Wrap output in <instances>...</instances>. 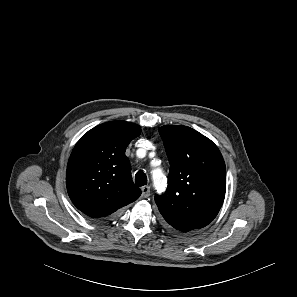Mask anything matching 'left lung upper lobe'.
Returning a JSON list of instances; mask_svg holds the SVG:
<instances>
[{
	"label": "left lung upper lobe",
	"instance_id": "obj_1",
	"mask_svg": "<svg viewBox=\"0 0 297 297\" xmlns=\"http://www.w3.org/2000/svg\"><path fill=\"white\" fill-rule=\"evenodd\" d=\"M170 162L167 196H155L169 226L181 232L203 228L225 197L226 167L217 146L187 126L160 129Z\"/></svg>",
	"mask_w": 297,
	"mask_h": 297
}]
</instances>
